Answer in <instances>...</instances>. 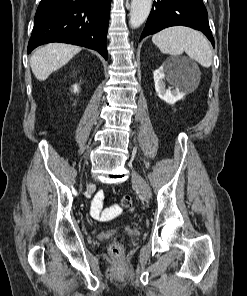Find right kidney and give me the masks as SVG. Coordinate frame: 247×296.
<instances>
[{"mask_svg":"<svg viewBox=\"0 0 247 296\" xmlns=\"http://www.w3.org/2000/svg\"><path fill=\"white\" fill-rule=\"evenodd\" d=\"M73 87H74V92H75V93H76V92H79V87H78L77 85H74Z\"/></svg>","mask_w":247,"mask_h":296,"instance_id":"ca27d5eb","label":"right kidney"}]
</instances>
